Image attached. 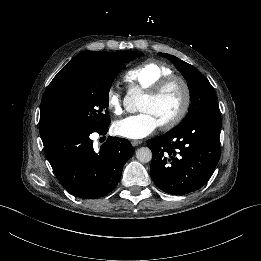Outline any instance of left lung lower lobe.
<instances>
[{
	"label": "left lung lower lobe",
	"mask_w": 261,
	"mask_h": 261,
	"mask_svg": "<svg viewBox=\"0 0 261 261\" xmlns=\"http://www.w3.org/2000/svg\"><path fill=\"white\" fill-rule=\"evenodd\" d=\"M221 117L200 116L180 128L150 139V176L155 185L172 195L203 187L220 158Z\"/></svg>",
	"instance_id": "1"
}]
</instances>
